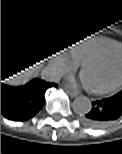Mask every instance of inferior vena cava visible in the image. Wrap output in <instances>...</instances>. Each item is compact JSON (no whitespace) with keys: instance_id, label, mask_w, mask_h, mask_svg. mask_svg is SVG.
Wrapping results in <instances>:
<instances>
[{"instance_id":"602c4592","label":"inferior vena cava","mask_w":122,"mask_h":154,"mask_svg":"<svg viewBox=\"0 0 122 154\" xmlns=\"http://www.w3.org/2000/svg\"><path fill=\"white\" fill-rule=\"evenodd\" d=\"M42 79L50 82H55L59 80V75L55 70H50L47 67H44L41 72Z\"/></svg>"}]
</instances>
